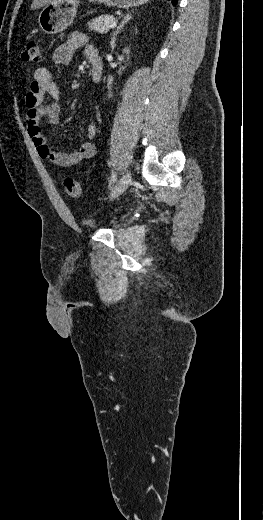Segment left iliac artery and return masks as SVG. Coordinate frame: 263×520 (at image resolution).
<instances>
[{
	"instance_id": "left-iliac-artery-1",
	"label": "left iliac artery",
	"mask_w": 263,
	"mask_h": 520,
	"mask_svg": "<svg viewBox=\"0 0 263 520\" xmlns=\"http://www.w3.org/2000/svg\"><path fill=\"white\" fill-rule=\"evenodd\" d=\"M111 179H112V182L114 183L116 180H117V174L115 171L112 170L111 172Z\"/></svg>"
}]
</instances>
